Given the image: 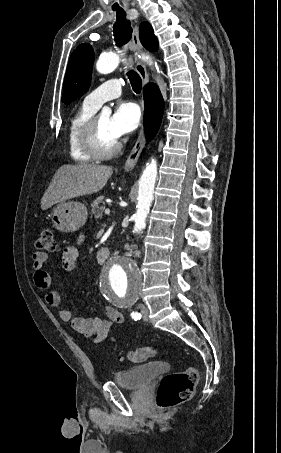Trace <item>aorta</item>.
Returning a JSON list of instances; mask_svg holds the SVG:
<instances>
[{
	"label": "aorta",
	"instance_id": "762f6f07",
	"mask_svg": "<svg viewBox=\"0 0 281 453\" xmlns=\"http://www.w3.org/2000/svg\"><path fill=\"white\" fill-rule=\"evenodd\" d=\"M142 59L149 64V56L142 55ZM120 63V58L115 53H108L101 56L96 69L101 74H108L114 71ZM156 69L159 68L156 66ZM111 109L104 107L103 116H110ZM157 177V163L152 159L148 163L139 180L138 202L136 213L133 215L135 221L133 232L142 231L146 226V218L153 200V193ZM100 291L103 297L112 305L120 306L134 303L142 289V276L136 263L127 258H113L107 261L100 274Z\"/></svg>",
	"mask_w": 281,
	"mask_h": 453
}]
</instances>
